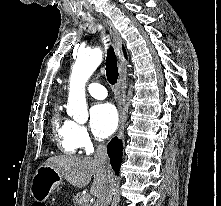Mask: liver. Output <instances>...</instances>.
<instances>
[{
	"instance_id": "liver-1",
	"label": "liver",
	"mask_w": 221,
	"mask_h": 206,
	"mask_svg": "<svg viewBox=\"0 0 221 206\" xmlns=\"http://www.w3.org/2000/svg\"><path fill=\"white\" fill-rule=\"evenodd\" d=\"M44 165L57 170L63 178L76 187H84L94 177L90 193L98 197L104 186V172L95 158L59 155L49 158Z\"/></svg>"
}]
</instances>
